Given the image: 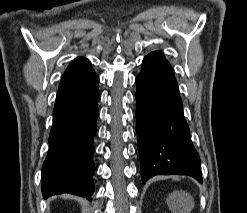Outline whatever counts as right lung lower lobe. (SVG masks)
Instances as JSON below:
<instances>
[{
	"mask_svg": "<svg viewBox=\"0 0 247 213\" xmlns=\"http://www.w3.org/2000/svg\"><path fill=\"white\" fill-rule=\"evenodd\" d=\"M98 81L90 66L62 76L53 110L49 151L41 173L45 198L71 193L91 199Z\"/></svg>",
	"mask_w": 247,
	"mask_h": 213,
	"instance_id": "98d812e1",
	"label": "right lung lower lobe"
}]
</instances>
